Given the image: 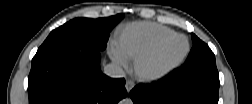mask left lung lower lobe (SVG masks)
<instances>
[{
    "instance_id": "left-lung-lower-lobe-1",
    "label": "left lung lower lobe",
    "mask_w": 252,
    "mask_h": 104,
    "mask_svg": "<svg viewBox=\"0 0 252 104\" xmlns=\"http://www.w3.org/2000/svg\"><path fill=\"white\" fill-rule=\"evenodd\" d=\"M219 86L216 65L182 66L157 82L135 86L130 97L134 104H217Z\"/></svg>"
}]
</instances>
